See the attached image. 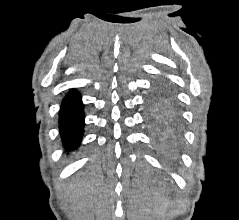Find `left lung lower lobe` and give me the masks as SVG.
Listing matches in <instances>:
<instances>
[{
	"label": "left lung lower lobe",
	"instance_id": "left-lung-lower-lobe-1",
	"mask_svg": "<svg viewBox=\"0 0 239 220\" xmlns=\"http://www.w3.org/2000/svg\"><path fill=\"white\" fill-rule=\"evenodd\" d=\"M176 113L173 116L169 118V120L162 126L161 128H158L159 131V137H158V143L161 146L163 150H165L167 153H171L173 142L177 135V125L174 118H176ZM175 116V117H174ZM170 121V119H172Z\"/></svg>",
	"mask_w": 239,
	"mask_h": 220
}]
</instances>
